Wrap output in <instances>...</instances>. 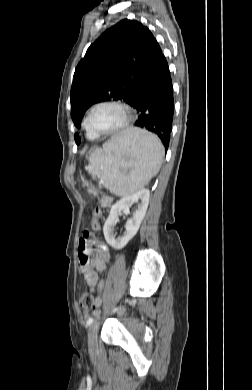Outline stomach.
Listing matches in <instances>:
<instances>
[{"instance_id":"1","label":"stomach","mask_w":252,"mask_h":390,"mask_svg":"<svg viewBox=\"0 0 252 390\" xmlns=\"http://www.w3.org/2000/svg\"><path fill=\"white\" fill-rule=\"evenodd\" d=\"M125 159H126V160H129V159H130V157H129V156H125Z\"/></svg>"}]
</instances>
